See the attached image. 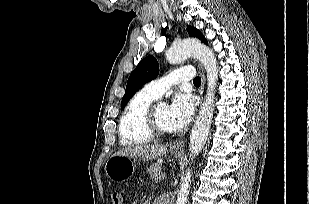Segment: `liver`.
<instances>
[{
    "mask_svg": "<svg viewBox=\"0 0 309 204\" xmlns=\"http://www.w3.org/2000/svg\"><path fill=\"white\" fill-rule=\"evenodd\" d=\"M167 145L154 144V145H138L133 147L124 148L114 155L129 156L134 159H141L144 161L154 160L166 153Z\"/></svg>",
    "mask_w": 309,
    "mask_h": 204,
    "instance_id": "6515ba94",
    "label": "liver"
}]
</instances>
